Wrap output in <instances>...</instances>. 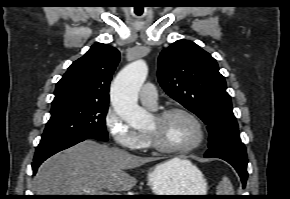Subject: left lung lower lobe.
I'll use <instances>...</instances> for the list:
<instances>
[{"mask_svg": "<svg viewBox=\"0 0 290 199\" xmlns=\"http://www.w3.org/2000/svg\"><path fill=\"white\" fill-rule=\"evenodd\" d=\"M206 158L215 157L220 158L230 163L238 172L243 187H245L247 180V153L243 143H227L222 146L209 149L205 153Z\"/></svg>", "mask_w": 290, "mask_h": 199, "instance_id": "left-lung-lower-lobe-1", "label": "left lung lower lobe"}]
</instances>
